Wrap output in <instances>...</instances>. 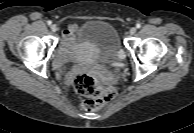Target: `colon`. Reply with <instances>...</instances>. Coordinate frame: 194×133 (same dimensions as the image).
Instances as JSON below:
<instances>
[{
  "instance_id": "obj_1",
  "label": "colon",
  "mask_w": 194,
  "mask_h": 133,
  "mask_svg": "<svg viewBox=\"0 0 194 133\" xmlns=\"http://www.w3.org/2000/svg\"><path fill=\"white\" fill-rule=\"evenodd\" d=\"M73 87L77 94L86 97L82 106L89 111L102 108L116 95L113 87L100 85L97 79L90 74H78L74 79Z\"/></svg>"
}]
</instances>
